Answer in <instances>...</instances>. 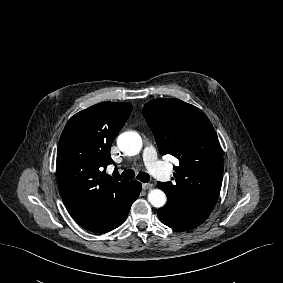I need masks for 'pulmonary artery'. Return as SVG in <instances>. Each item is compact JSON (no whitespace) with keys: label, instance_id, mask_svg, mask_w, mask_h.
I'll return each instance as SVG.
<instances>
[{"label":"pulmonary artery","instance_id":"obj_1","mask_svg":"<svg viewBox=\"0 0 283 283\" xmlns=\"http://www.w3.org/2000/svg\"><path fill=\"white\" fill-rule=\"evenodd\" d=\"M143 158L145 165L156 178L162 181L168 178V170L165 165L158 161L157 152L153 146L148 145L144 148Z\"/></svg>","mask_w":283,"mask_h":283}]
</instances>
